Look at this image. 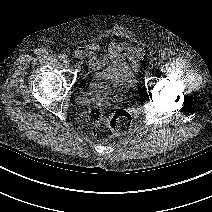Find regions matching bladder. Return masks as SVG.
<instances>
[{
	"label": "bladder",
	"mask_w": 212,
	"mask_h": 212,
	"mask_svg": "<svg viewBox=\"0 0 212 212\" xmlns=\"http://www.w3.org/2000/svg\"><path fill=\"white\" fill-rule=\"evenodd\" d=\"M138 96L132 70L123 63H115L94 71L79 90L78 103L89 107L96 105L130 104Z\"/></svg>",
	"instance_id": "bladder-1"
}]
</instances>
